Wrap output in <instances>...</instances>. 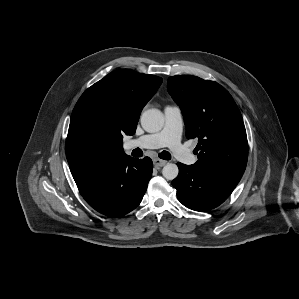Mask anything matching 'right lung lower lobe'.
Wrapping results in <instances>:
<instances>
[{"mask_svg": "<svg viewBox=\"0 0 299 299\" xmlns=\"http://www.w3.org/2000/svg\"><path fill=\"white\" fill-rule=\"evenodd\" d=\"M69 166L87 203L110 217L125 215L140 204L153 169L149 157L136 159L126 154Z\"/></svg>", "mask_w": 299, "mask_h": 299, "instance_id": "1", "label": "right lung lower lobe"}]
</instances>
